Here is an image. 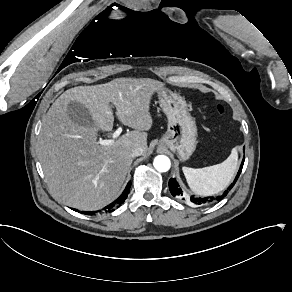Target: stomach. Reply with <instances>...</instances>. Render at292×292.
I'll return each instance as SVG.
<instances>
[{
  "mask_svg": "<svg viewBox=\"0 0 292 292\" xmlns=\"http://www.w3.org/2000/svg\"><path fill=\"white\" fill-rule=\"evenodd\" d=\"M160 103L168 118L167 132L159 141L160 146L169 148L180 160H187L197 145V127L188 112L186 102L176 94L160 92Z\"/></svg>",
  "mask_w": 292,
  "mask_h": 292,
  "instance_id": "stomach-1",
  "label": "stomach"
}]
</instances>
